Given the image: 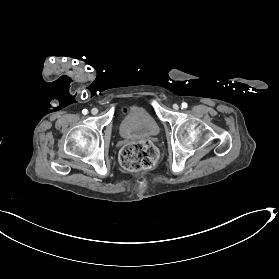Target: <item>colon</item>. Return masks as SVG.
<instances>
[{
	"mask_svg": "<svg viewBox=\"0 0 279 279\" xmlns=\"http://www.w3.org/2000/svg\"><path fill=\"white\" fill-rule=\"evenodd\" d=\"M156 157V149L150 142L127 144L120 152L122 165L132 171L153 167Z\"/></svg>",
	"mask_w": 279,
	"mask_h": 279,
	"instance_id": "obj_1",
	"label": "colon"
}]
</instances>
